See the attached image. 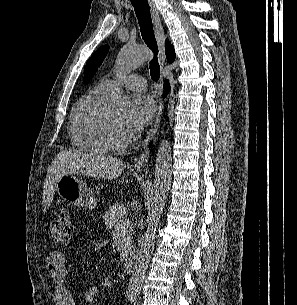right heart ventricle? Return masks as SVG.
<instances>
[{
	"mask_svg": "<svg viewBox=\"0 0 297 305\" xmlns=\"http://www.w3.org/2000/svg\"><path fill=\"white\" fill-rule=\"evenodd\" d=\"M107 91L99 85L91 90L74 108L70 138L72 145L91 154H106V145L102 128L106 116L103 102Z\"/></svg>",
	"mask_w": 297,
	"mask_h": 305,
	"instance_id": "right-heart-ventricle-1",
	"label": "right heart ventricle"
}]
</instances>
